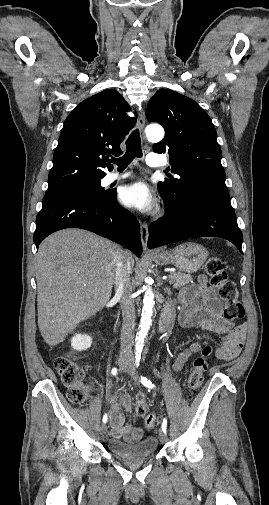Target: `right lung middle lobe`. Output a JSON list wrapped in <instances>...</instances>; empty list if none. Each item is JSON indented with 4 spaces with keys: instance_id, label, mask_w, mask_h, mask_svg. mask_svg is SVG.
<instances>
[{
    "instance_id": "1",
    "label": "right lung middle lobe",
    "mask_w": 269,
    "mask_h": 505,
    "mask_svg": "<svg viewBox=\"0 0 269 505\" xmlns=\"http://www.w3.org/2000/svg\"><path fill=\"white\" fill-rule=\"evenodd\" d=\"M64 192L84 193L99 199L104 198L110 194L109 191H105L101 187L100 179H93L61 188L47 190L46 195L64 193Z\"/></svg>"
}]
</instances>
